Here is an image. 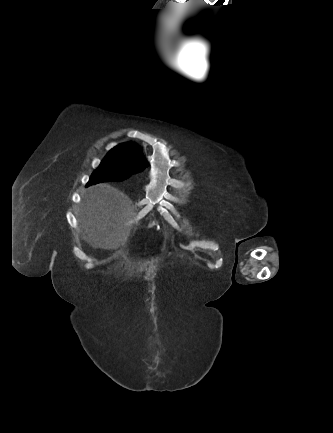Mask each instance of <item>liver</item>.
Masks as SVG:
<instances>
[{
    "mask_svg": "<svg viewBox=\"0 0 333 433\" xmlns=\"http://www.w3.org/2000/svg\"><path fill=\"white\" fill-rule=\"evenodd\" d=\"M137 209L128 196L109 184L89 187L77 215L83 239L93 248L116 250L124 245Z\"/></svg>",
    "mask_w": 333,
    "mask_h": 433,
    "instance_id": "6515ba94",
    "label": "liver"
}]
</instances>
